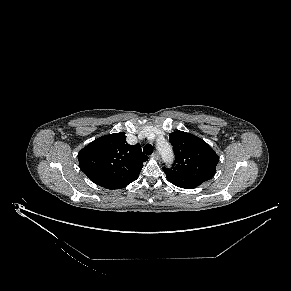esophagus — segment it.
Instances as JSON below:
<instances>
[{
	"mask_svg": "<svg viewBox=\"0 0 291 291\" xmlns=\"http://www.w3.org/2000/svg\"><path fill=\"white\" fill-rule=\"evenodd\" d=\"M152 157H153L154 159H156V160H159V159H160V155H159L158 152H154V153L152 154Z\"/></svg>",
	"mask_w": 291,
	"mask_h": 291,
	"instance_id": "1",
	"label": "esophagus"
}]
</instances>
